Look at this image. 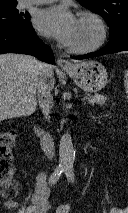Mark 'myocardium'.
<instances>
[{"label": "myocardium", "mask_w": 128, "mask_h": 213, "mask_svg": "<svg viewBox=\"0 0 128 213\" xmlns=\"http://www.w3.org/2000/svg\"><path fill=\"white\" fill-rule=\"evenodd\" d=\"M79 19H86L92 21L98 28V37L90 45L84 47L69 46L68 50L72 53L86 54L98 50L105 43L108 35V30L105 21L96 13L90 11H83L79 14Z\"/></svg>", "instance_id": "obj_1"}]
</instances>
